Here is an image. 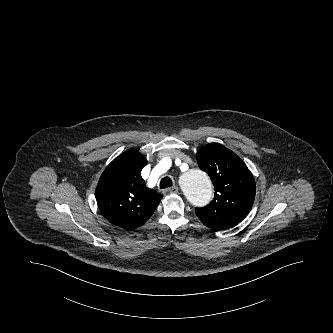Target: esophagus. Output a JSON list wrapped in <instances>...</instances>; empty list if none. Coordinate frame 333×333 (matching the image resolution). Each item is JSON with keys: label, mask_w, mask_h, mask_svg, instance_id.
<instances>
[{"label": "esophagus", "mask_w": 333, "mask_h": 333, "mask_svg": "<svg viewBox=\"0 0 333 333\" xmlns=\"http://www.w3.org/2000/svg\"><path fill=\"white\" fill-rule=\"evenodd\" d=\"M164 195H172V194H177L178 193V187L173 186L170 188H167L163 191Z\"/></svg>", "instance_id": "1"}]
</instances>
